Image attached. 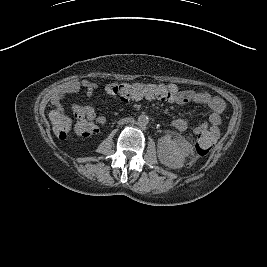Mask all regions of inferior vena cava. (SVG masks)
<instances>
[{"label": "inferior vena cava", "instance_id": "602c4592", "mask_svg": "<svg viewBox=\"0 0 267 267\" xmlns=\"http://www.w3.org/2000/svg\"><path fill=\"white\" fill-rule=\"evenodd\" d=\"M133 119L132 118H122L121 120L118 121V124L123 125L126 123H132Z\"/></svg>", "mask_w": 267, "mask_h": 267}]
</instances>
